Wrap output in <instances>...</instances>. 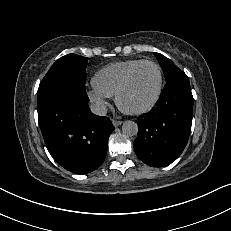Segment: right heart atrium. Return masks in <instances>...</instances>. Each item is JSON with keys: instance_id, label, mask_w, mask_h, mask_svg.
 I'll return each instance as SVG.
<instances>
[{"instance_id": "obj_1", "label": "right heart atrium", "mask_w": 231, "mask_h": 231, "mask_svg": "<svg viewBox=\"0 0 231 231\" xmlns=\"http://www.w3.org/2000/svg\"><path fill=\"white\" fill-rule=\"evenodd\" d=\"M88 96L90 100L99 108L100 110H104L108 105V98L106 94L102 93L98 90L94 85L88 91Z\"/></svg>"}]
</instances>
